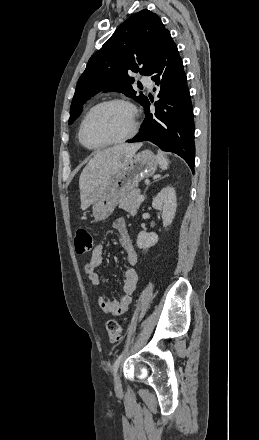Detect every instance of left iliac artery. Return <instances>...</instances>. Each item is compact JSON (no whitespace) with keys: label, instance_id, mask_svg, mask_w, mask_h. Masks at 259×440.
Returning <instances> with one entry per match:
<instances>
[{"label":"left iliac artery","instance_id":"obj_1","mask_svg":"<svg viewBox=\"0 0 259 440\" xmlns=\"http://www.w3.org/2000/svg\"><path fill=\"white\" fill-rule=\"evenodd\" d=\"M121 359H122V354H120V355L118 356V358L116 359V361H115L114 364H113V372H114V375H115V373H116V371H117V369H118V367H119V364H120V362H121Z\"/></svg>","mask_w":259,"mask_h":440}]
</instances>
